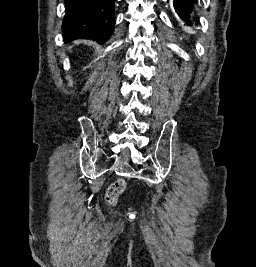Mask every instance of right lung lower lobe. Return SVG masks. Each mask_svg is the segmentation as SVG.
<instances>
[{
	"label": "right lung lower lobe",
	"mask_w": 256,
	"mask_h": 267,
	"mask_svg": "<svg viewBox=\"0 0 256 267\" xmlns=\"http://www.w3.org/2000/svg\"><path fill=\"white\" fill-rule=\"evenodd\" d=\"M63 39L79 38L104 43L114 31V0H65Z\"/></svg>",
	"instance_id": "obj_1"
}]
</instances>
